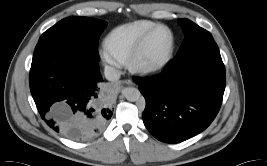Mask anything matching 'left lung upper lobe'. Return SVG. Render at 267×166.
Instances as JSON below:
<instances>
[{
	"label": "left lung upper lobe",
	"instance_id": "1",
	"mask_svg": "<svg viewBox=\"0 0 267 166\" xmlns=\"http://www.w3.org/2000/svg\"><path fill=\"white\" fill-rule=\"evenodd\" d=\"M178 23L183 29L185 40L176 58L186 55L188 52L203 43L214 41L212 35L207 30L199 27L188 19H178Z\"/></svg>",
	"mask_w": 267,
	"mask_h": 166
}]
</instances>
